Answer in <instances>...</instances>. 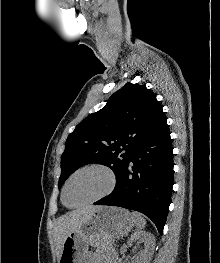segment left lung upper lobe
<instances>
[{"mask_svg": "<svg viewBox=\"0 0 220 263\" xmlns=\"http://www.w3.org/2000/svg\"><path fill=\"white\" fill-rule=\"evenodd\" d=\"M165 114L144 85L126 83L107 104L80 122L66 140L59 188L79 167L98 163L110 167L118 180L135 146ZM125 150V153H121Z\"/></svg>", "mask_w": 220, "mask_h": 263, "instance_id": "left-lung-upper-lobe-1", "label": "left lung upper lobe"}]
</instances>
